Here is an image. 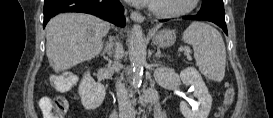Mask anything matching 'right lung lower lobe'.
<instances>
[{"label": "right lung lower lobe", "mask_w": 273, "mask_h": 118, "mask_svg": "<svg viewBox=\"0 0 273 118\" xmlns=\"http://www.w3.org/2000/svg\"><path fill=\"white\" fill-rule=\"evenodd\" d=\"M43 12L44 28L53 16L64 12L88 13L117 26L126 25L124 8L119 0H45Z\"/></svg>", "instance_id": "right-lung-lower-lobe-1"}]
</instances>
